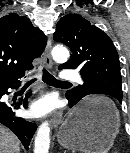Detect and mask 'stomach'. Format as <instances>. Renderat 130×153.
I'll return each instance as SVG.
<instances>
[{
    "mask_svg": "<svg viewBox=\"0 0 130 153\" xmlns=\"http://www.w3.org/2000/svg\"><path fill=\"white\" fill-rule=\"evenodd\" d=\"M119 126V112L110 99L89 97L68 113L59 128L58 142L73 151L108 153Z\"/></svg>",
    "mask_w": 130,
    "mask_h": 153,
    "instance_id": "obj_1",
    "label": "stomach"
}]
</instances>
